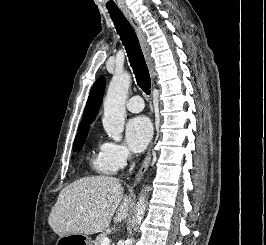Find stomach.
Returning <instances> with one entry per match:
<instances>
[{
	"instance_id": "0dacf381",
	"label": "stomach",
	"mask_w": 266,
	"mask_h": 245,
	"mask_svg": "<svg viewBox=\"0 0 266 245\" xmlns=\"http://www.w3.org/2000/svg\"><path fill=\"white\" fill-rule=\"evenodd\" d=\"M61 242H79L78 245H93L90 237L80 235V233H65V237H61Z\"/></svg>"
}]
</instances>
